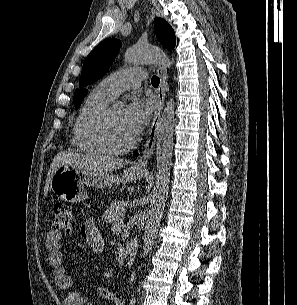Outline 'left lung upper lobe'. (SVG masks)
Here are the masks:
<instances>
[{
    "mask_svg": "<svg viewBox=\"0 0 297 305\" xmlns=\"http://www.w3.org/2000/svg\"><path fill=\"white\" fill-rule=\"evenodd\" d=\"M154 27L158 41L167 48H174L176 37L172 27L163 19L155 18ZM121 47L118 39H105L85 59L81 77L80 87H86L100 79L112 65ZM87 94L86 89L77 90L74 94V105L78 109L83 98Z\"/></svg>",
    "mask_w": 297,
    "mask_h": 305,
    "instance_id": "left-lung-upper-lobe-1",
    "label": "left lung upper lobe"
}]
</instances>
